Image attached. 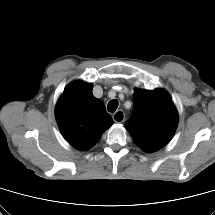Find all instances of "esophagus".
Wrapping results in <instances>:
<instances>
[{
  "mask_svg": "<svg viewBox=\"0 0 215 215\" xmlns=\"http://www.w3.org/2000/svg\"><path fill=\"white\" fill-rule=\"evenodd\" d=\"M113 120L116 123H122L125 120V114L122 110H118L113 114Z\"/></svg>",
  "mask_w": 215,
  "mask_h": 215,
  "instance_id": "esophagus-1",
  "label": "esophagus"
}]
</instances>
